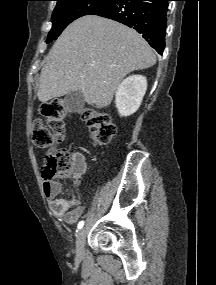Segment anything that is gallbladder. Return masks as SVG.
Here are the masks:
<instances>
[{"label":"gallbladder","mask_w":216,"mask_h":285,"mask_svg":"<svg viewBox=\"0 0 216 285\" xmlns=\"http://www.w3.org/2000/svg\"><path fill=\"white\" fill-rule=\"evenodd\" d=\"M84 96L81 91H74L64 98L65 107L71 112H79L84 107Z\"/></svg>","instance_id":"obj_1"}]
</instances>
